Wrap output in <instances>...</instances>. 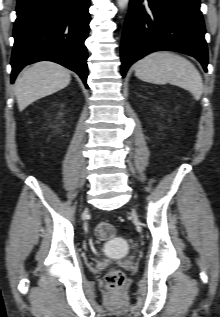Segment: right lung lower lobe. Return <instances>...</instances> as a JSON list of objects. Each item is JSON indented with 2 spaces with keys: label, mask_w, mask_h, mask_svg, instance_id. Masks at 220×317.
Returning <instances> with one entry per match:
<instances>
[{
  "label": "right lung lower lobe",
  "mask_w": 220,
  "mask_h": 317,
  "mask_svg": "<svg viewBox=\"0 0 220 317\" xmlns=\"http://www.w3.org/2000/svg\"><path fill=\"white\" fill-rule=\"evenodd\" d=\"M90 0H18L11 82L28 64L47 60L76 72L88 88Z\"/></svg>",
  "instance_id": "1"
}]
</instances>
